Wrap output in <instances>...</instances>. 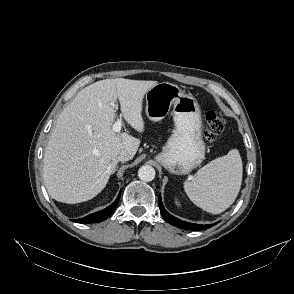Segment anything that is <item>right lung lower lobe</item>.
<instances>
[{"instance_id": "1", "label": "right lung lower lobe", "mask_w": 294, "mask_h": 294, "mask_svg": "<svg viewBox=\"0 0 294 294\" xmlns=\"http://www.w3.org/2000/svg\"><path fill=\"white\" fill-rule=\"evenodd\" d=\"M119 199H120V193H119L117 199L115 200V202L112 205H110L109 207H107L106 209L99 211V212H96V213H93V214H90V215H88L84 218H81V219H75L73 221L78 222V223L101 222V221L107 219L108 216L115 210V208L119 202Z\"/></svg>"}]
</instances>
